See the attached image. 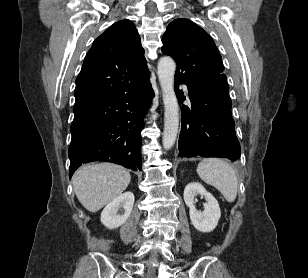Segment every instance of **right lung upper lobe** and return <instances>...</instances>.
Listing matches in <instances>:
<instances>
[{"instance_id":"cb5924a9","label":"right lung upper lobe","mask_w":308,"mask_h":278,"mask_svg":"<svg viewBox=\"0 0 308 278\" xmlns=\"http://www.w3.org/2000/svg\"><path fill=\"white\" fill-rule=\"evenodd\" d=\"M149 76L135 25L122 20L109 27L88 51L76 79L74 107L124 94Z\"/></svg>"}]
</instances>
